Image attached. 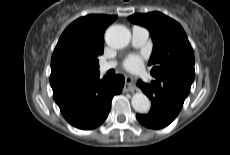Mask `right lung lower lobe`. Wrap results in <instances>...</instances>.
<instances>
[{"mask_svg": "<svg viewBox=\"0 0 230 155\" xmlns=\"http://www.w3.org/2000/svg\"><path fill=\"white\" fill-rule=\"evenodd\" d=\"M124 81L122 75L100 79L98 72L52 86L53 97L71 125L83 130L93 129L107 118L111 100L121 93Z\"/></svg>", "mask_w": 230, "mask_h": 155, "instance_id": "1", "label": "right lung lower lobe"}]
</instances>
